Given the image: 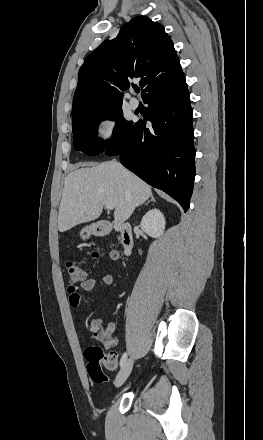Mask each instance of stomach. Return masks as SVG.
<instances>
[{"instance_id":"obj_1","label":"stomach","mask_w":263,"mask_h":440,"mask_svg":"<svg viewBox=\"0 0 263 440\" xmlns=\"http://www.w3.org/2000/svg\"><path fill=\"white\" fill-rule=\"evenodd\" d=\"M96 229H95V227H88V228H85L84 229V231L86 232V233H91V232H94Z\"/></svg>"}]
</instances>
